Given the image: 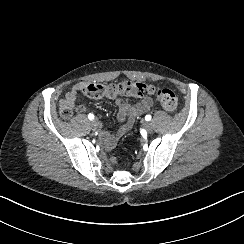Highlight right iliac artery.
Masks as SVG:
<instances>
[{
	"mask_svg": "<svg viewBox=\"0 0 244 244\" xmlns=\"http://www.w3.org/2000/svg\"><path fill=\"white\" fill-rule=\"evenodd\" d=\"M88 119H89V120H93V119H94V115L90 113V114L88 115Z\"/></svg>",
	"mask_w": 244,
	"mask_h": 244,
	"instance_id": "82829eb1",
	"label": "right iliac artery"
}]
</instances>
